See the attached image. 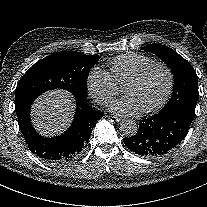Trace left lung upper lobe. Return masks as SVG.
I'll list each match as a JSON object with an SVG mask.
<instances>
[{
	"instance_id": "5c2ea615",
	"label": "left lung upper lobe",
	"mask_w": 207,
	"mask_h": 207,
	"mask_svg": "<svg viewBox=\"0 0 207 207\" xmlns=\"http://www.w3.org/2000/svg\"><path fill=\"white\" fill-rule=\"evenodd\" d=\"M142 49L157 55L173 72V95L161 111L181 109L193 115L198 100V78L191 64L177 52L161 44H150Z\"/></svg>"
}]
</instances>
